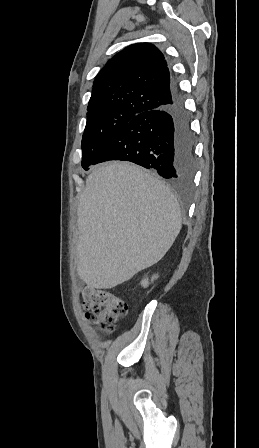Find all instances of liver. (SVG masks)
Listing matches in <instances>:
<instances>
[{"label":"liver","instance_id":"6515ba94","mask_svg":"<svg viewBox=\"0 0 259 448\" xmlns=\"http://www.w3.org/2000/svg\"><path fill=\"white\" fill-rule=\"evenodd\" d=\"M77 216L78 276L97 290L157 264L182 226L171 190L130 162H106L89 174Z\"/></svg>","mask_w":259,"mask_h":448}]
</instances>
